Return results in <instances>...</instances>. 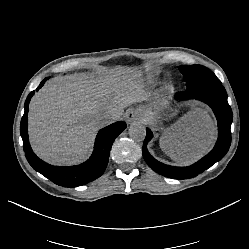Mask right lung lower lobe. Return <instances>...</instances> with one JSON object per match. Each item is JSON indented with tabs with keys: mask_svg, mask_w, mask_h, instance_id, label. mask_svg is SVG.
I'll return each instance as SVG.
<instances>
[{
	"mask_svg": "<svg viewBox=\"0 0 249 249\" xmlns=\"http://www.w3.org/2000/svg\"><path fill=\"white\" fill-rule=\"evenodd\" d=\"M47 80L48 78H45L36 90L38 91ZM34 93L35 91H32L26 98L25 112L20 125L23 148L29 164L46 178L63 187L81 186L100 177L107 167L111 146L115 138L126 128V124L119 121L101 129L95 140L93 154L83 164L70 167L49 165L34 154L29 144L27 114L29 102Z\"/></svg>",
	"mask_w": 249,
	"mask_h": 249,
	"instance_id": "right-lung-lower-lobe-1",
	"label": "right lung lower lobe"
}]
</instances>
